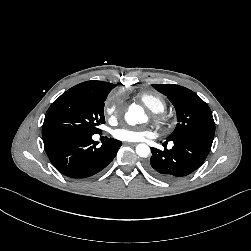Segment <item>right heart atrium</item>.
<instances>
[{
  "label": "right heart atrium",
  "instance_id": "right-heart-atrium-1",
  "mask_svg": "<svg viewBox=\"0 0 251 251\" xmlns=\"http://www.w3.org/2000/svg\"><path fill=\"white\" fill-rule=\"evenodd\" d=\"M105 115L110 119L114 120L121 111V107L117 102H108L105 106Z\"/></svg>",
  "mask_w": 251,
  "mask_h": 251
}]
</instances>
